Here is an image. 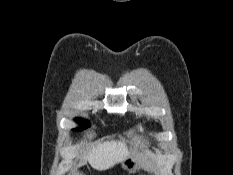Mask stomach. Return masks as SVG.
I'll return each instance as SVG.
<instances>
[{
  "mask_svg": "<svg viewBox=\"0 0 233 175\" xmlns=\"http://www.w3.org/2000/svg\"><path fill=\"white\" fill-rule=\"evenodd\" d=\"M122 168L128 172H135L141 166L140 158L137 155H128L122 161Z\"/></svg>",
  "mask_w": 233,
  "mask_h": 175,
  "instance_id": "0dacf381",
  "label": "stomach"
}]
</instances>
